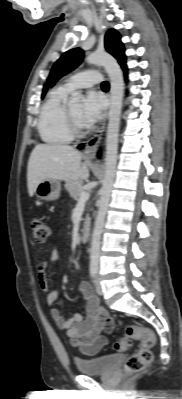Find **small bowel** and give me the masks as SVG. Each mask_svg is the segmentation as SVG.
Segmentation results:
<instances>
[{
    "instance_id": "c3829d8e",
    "label": "small bowel",
    "mask_w": 182,
    "mask_h": 399,
    "mask_svg": "<svg viewBox=\"0 0 182 399\" xmlns=\"http://www.w3.org/2000/svg\"><path fill=\"white\" fill-rule=\"evenodd\" d=\"M60 258V252L54 249L37 265L38 283L46 291L48 305L54 304L59 295L49 284L47 269ZM79 291L86 306L85 316L74 310L69 317H64L56 308L50 310V315L56 326L66 331L72 346L84 354L95 355L108 344V338L103 332L110 333L113 330L114 320L101 309L99 300L87 281L79 284Z\"/></svg>"
}]
</instances>
